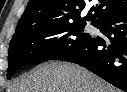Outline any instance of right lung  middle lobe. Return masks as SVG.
Instances as JSON below:
<instances>
[{
	"instance_id": "obj_1",
	"label": "right lung middle lobe",
	"mask_w": 127,
	"mask_h": 92,
	"mask_svg": "<svg viewBox=\"0 0 127 92\" xmlns=\"http://www.w3.org/2000/svg\"><path fill=\"white\" fill-rule=\"evenodd\" d=\"M86 23H70L62 26L34 27L11 40L9 46L7 78L32 62L57 58L69 52L89 38L84 32Z\"/></svg>"
}]
</instances>
